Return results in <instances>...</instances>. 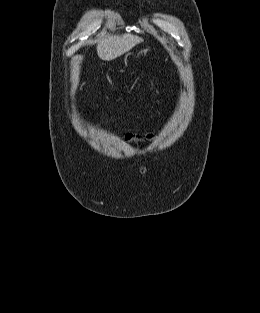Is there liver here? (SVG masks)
I'll return each instance as SVG.
<instances>
[{
  "instance_id": "obj_1",
  "label": "liver",
  "mask_w": 260,
  "mask_h": 313,
  "mask_svg": "<svg viewBox=\"0 0 260 313\" xmlns=\"http://www.w3.org/2000/svg\"><path fill=\"white\" fill-rule=\"evenodd\" d=\"M142 41V38L131 34L109 36L98 44L97 53L102 60L111 61L128 52Z\"/></svg>"
}]
</instances>
